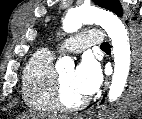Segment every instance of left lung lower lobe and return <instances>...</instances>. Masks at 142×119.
<instances>
[{
    "mask_svg": "<svg viewBox=\"0 0 142 119\" xmlns=\"http://www.w3.org/2000/svg\"><path fill=\"white\" fill-rule=\"evenodd\" d=\"M139 59H140V60H139V66H140V69H142V68H141V66H142L141 56L139 57Z\"/></svg>",
    "mask_w": 142,
    "mask_h": 119,
    "instance_id": "0a47b994",
    "label": "left lung lower lobe"
}]
</instances>
